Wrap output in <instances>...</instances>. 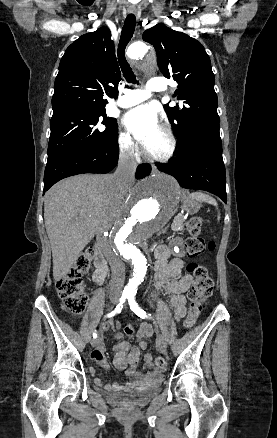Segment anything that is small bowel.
Listing matches in <instances>:
<instances>
[{
    "label": "small bowel",
    "instance_id": "small-bowel-1",
    "mask_svg": "<svg viewBox=\"0 0 277 438\" xmlns=\"http://www.w3.org/2000/svg\"><path fill=\"white\" fill-rule=\"evenodd\" d=\"M171 249L162 245L159 246L155 252V276L153 289L158 290L164 288L166 293L170 295L171 306L174 312V316L177 320L182 319L186 314V298L185 292L190 288L193 278L189 274H183L184 260L183 251L181 248L176 249V256L171 257ZM120 325L116 323V327ZM103 330L108 331V327L104 326ZM125 333L132 334L135 331L134 326L127 325L124 328ZM153 333L152 327L143 323L137 333L138 347H131L130 343L123 340L121 333H116L115 337L120 339V342L116 346V355L114 358L115 366L120 370H125L127 366L129 369L126 372V378L130 383H138L144 386H157L160 382V373L153 372L152 361L153 357L150 354H146L144 357L147 371L139 372L136 370L140 359V350L147 348L146 338L150 337ZM107 347L104 344L99 343L97 348L92 352V358L100 365L108 367V363L105 359L104 352ZM91 373L94 374V369L91 368ZM96 384L105 387L107 390H114L117 388L116 384H106L100 379L95 380Z\"/></svg>",
    "mask_w": 277,
    "mask_h": 438
}]
</instances>
